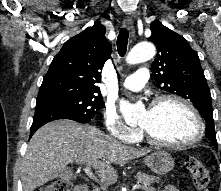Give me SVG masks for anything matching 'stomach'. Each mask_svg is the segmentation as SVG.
<instances>
[{
    "instance_id": "obj_1",
    "label": "stomach",
    "mask_w": 221,
    "mask_h": 191,
    "mask_svg": "<svg viewBox=\"0 0 221 191\" xmlns=\"http://www.w3.org/2000/svg\"><path fill=\"white\" fill-rule=\"evenodd\" d=\"M144 163L156 174L163 175L174 167L172 156L165 151H156L144 158Z\"/></svg>"
}]
</instances>
